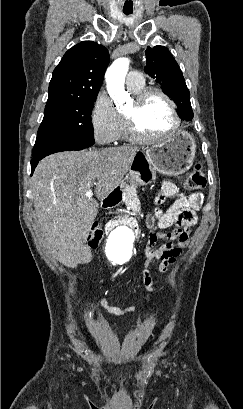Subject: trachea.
Listing matches in <instances>:
<instances>
[{
	"label": "trachea",
	"mask_w": 243,
	"mask_h": 409,
	"mask_svg": "<svg viewBox=\"0 0 243 409\" xmlns=\"http://www.w3.org/2000/svg\"><path fill=\"white\" fill-rule=\"evenodd\" d=\"M126 15H129V14H131L132 12H124Z\"/></svg>",
	"instance_id": "3493384b"
}]
</instances>
